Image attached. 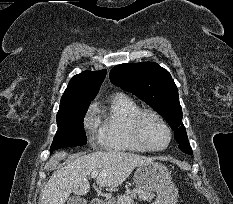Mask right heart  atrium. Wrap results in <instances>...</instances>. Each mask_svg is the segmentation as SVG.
I'll return each mask as SVG.
<instances>
[{"label":"right heart atrium","mask_w":233,"mask_h":204,"mask_svg":"<svg viewBox=\"0 0 233 204\" xmlns=\"http://www.w3.org/2000/svg\"><path fill=\"white\" fill-rule=\"evenodd\" d=\"M84 127L89 135V140L91 143H100V138L98 134V125L96 118L94 116V107L91 106L84 118Z\"/></svg>","instance_id":"1"}]
</instances>
